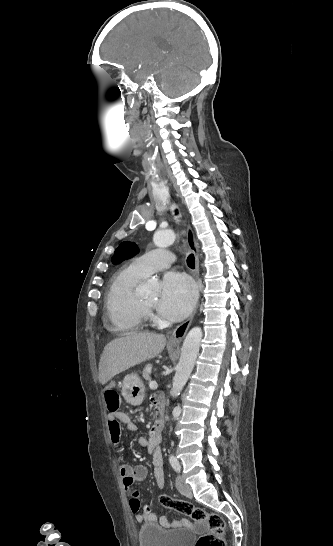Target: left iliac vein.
Returning a JSON list of instances; mask_svg holds the SVG:
<instances>
[{
	"instance_id": "left-iliac-vein-1",
	"label": "left iliac vein",
	"mask_w": 333,
	"mask_h": 546,
	"mask_svg": "<svg viewBox=\"0 0 333 546\" xmlns=\"http://www.w3.org/2000/svg\"><path fill=\"white\" fill-rule=\"evenodd\" d=\"M176 487L178 491L182 494H191V487L185 483L184 479L180 475L176 478Z\"/></svg>"
}]
</instances>
